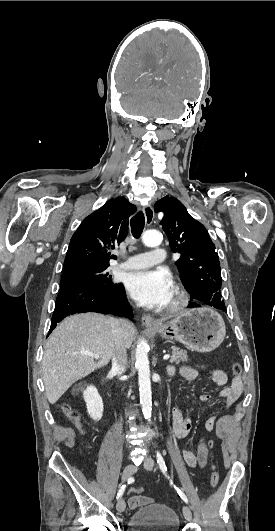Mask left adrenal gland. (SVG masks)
Wrapping results in <instances>:
<instances>
[{
    "instance_id": "a2214340",
    "label": "left adrenal gland",
    "mask_w": 275,
    "mask_h": 531,
    "mask_svg": "<svg viewBox=\"0 0 275 531\" xmlns=\"http://www.w3.org/2000/svg\"><path fill=\"white\" fill-rule=\"evenodd\" d=\"M156 363H157V361H156V359H155V363H152V365H156Z\"/></svg>"
}]
</instances>
